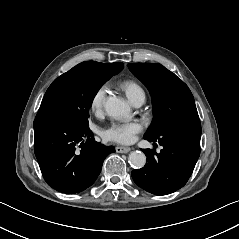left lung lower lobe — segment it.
<instances>
[{
	"label": "left lung lower lobe",
	"mask_w": 239,
	"mask_h": 239,
	"mask_svg": "<svg viewBox=\"0 0 239 239\" xmlns=\"http://www.w3.org/2000/svg\"><path fill=\"white\" fill-rule=\"evenodd\" d=\"M144 138L158 141L163 149L160 153L143 150L147 163L144 168L132 171L134 182L155 195H167L182 188L200 155V120L184 119L166 127L158 138Z\"/></svg>",
	"instance_id": "left-lung-lower-lobe-1"
}]
</instances>
